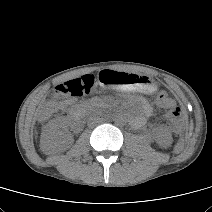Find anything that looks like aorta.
<instances>
[{
    "label": "aorta",
    "instance_id": "aorta-1",
    "mask_svg": "<svg viewBox=\"0 0 212 212\" xmlns=\"http://www.w3.org/2000/svg\"><path fill=\"white\" fill-rule=\"evenodd\" d=\"M125 122L124 118L122 116H118L116 118V123L117 124H123Z\"/></svg>",
    "mask_w": 212,
    "mask_h": 212
}]
</instances>
